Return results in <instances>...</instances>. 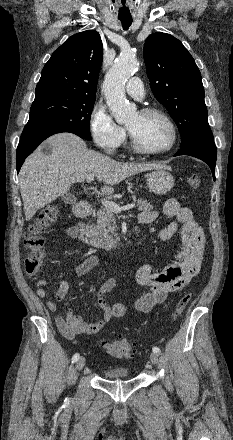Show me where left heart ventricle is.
Returning <instances> with one entry per match:
<instances>
[{
	"instance_id": "obj_1",
	"label": "left heart ventricle",
	"mask_w": 233,
	"mask_h": 440,
	"mask_svg": "<svg viewBox=\"0 0 233 440\" xmlns=\"http://www.w3.org/2000/svg\"><path fill=\"white\" fill-rule=\"evenodd\" d=\"M126 126L139 143L149 150L163 149L170 143V127L158 115H142L137 112L130 118Z\"/></svg>"
}]
</instances>
